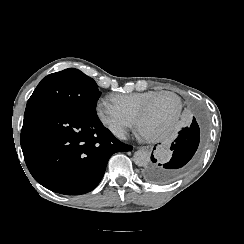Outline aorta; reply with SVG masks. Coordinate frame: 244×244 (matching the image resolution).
<instances>
[{
	"instance_id": "762f6f07",
	"label": "aorta",
	"mask_w": 244,
	"mask_h": 244,
	"mask_svg": "<svg viewBox=\"0 0 244 244\" xmlns=\"http://www.w3.org/2000/svg\"><path fill=\"white\" fill-rule=\"evenodd\" d=\"M133 161L137 166L144 167L150 162V152L147 150H137L133 155Z\"/></svg>"
}]
</instances>
